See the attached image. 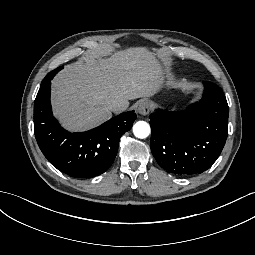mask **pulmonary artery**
Listing matches in <instances>:
<instances>
[{
  "label": "pulmonary artery",
  "mask_w": 255,
  "mask_h": 255,
  "mask_svg": "<svg viewBox=\"0 0 255 255\" xmlns=\"http://www.w3.org/2000/svg\"><path fill=\"white\" fill-rule=\"evenodd\" d=\"M124 124H123V122H118L117 124H116V126H115V129L117 130V131H121L122 129H123V126Z\"/></svg>",
  "instance_id": "pulmonary-artery-1"
}]
</instances>
